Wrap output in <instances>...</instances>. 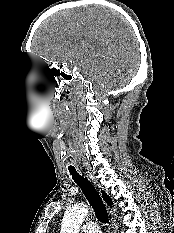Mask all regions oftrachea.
<instances>
[{"instance_id":"obj_1","label":"trachea","mask_w":174,"mask_h":233,"mask_svg":"<svg viewBox=\"0 0 174 233\" xmlns=\"http://www.w3.org/2000/svg\"><path fill=\"white\" fill-rule=\"evenodd\" d=\"M75 183L80 187L90 205L94 209L97 219L103 224H109V216L105 204L95 187L83 176L79 175L74 167H69Z\"/></svg>"}]
</instances>
